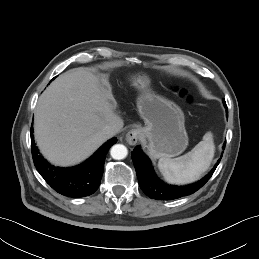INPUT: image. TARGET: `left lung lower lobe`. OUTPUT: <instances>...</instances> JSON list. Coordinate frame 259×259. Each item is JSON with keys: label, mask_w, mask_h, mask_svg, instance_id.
<instances>
[{"label": "left lung lower lobe", "mask_w": 259, "mask_h": 259, "mask_svg": "<svg viewBox=\"0 0 259 259\" xmlns=\"http://www.w3.org/2000/svg\"><path fill=\"white\" fill-rule=\"evenodd\" d=\"M223 104L227 109L225 100H223ZM225 144L226 142L224 143L223 148H225ZM132 160L136 169L140 188L147 196L156 200H173L193 194L210 179L220 162L219 159L211 172L196 183L186 186H171L165 184L156 176L149 158L142 152L140 146L135 147L132 153Z\"/></svg>", "instance_id": "1"}]
</instances>
